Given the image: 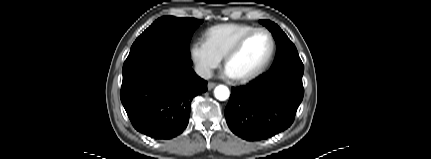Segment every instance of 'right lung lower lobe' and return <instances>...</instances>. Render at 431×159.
Instances as JSON below:
<instances>
[{
	"mask_svg": "<svg viewBox=\"0 0 431 159\" xmlns=\"http://www.w3.org/2000/svg\"><path fill=\"white\" fill-rule=\"evenodd\" d=\"M190 57L152 45L124 62L121 102L134 128L154 139H171L187 127L192 99L207 82L191 69Z\"/></svg>",
	"mask_w": 431,
	"mask_h": 159,
	"instance_id": "right-lung-lower-lobe-1",
	"label": "right lung lower lobe"
}]
</instances>
